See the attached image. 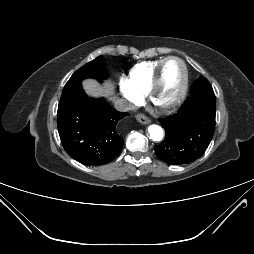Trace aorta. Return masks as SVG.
Returning a JSON list of instances; mask_svg holds the SVG:
<instances>
[{"instance_id":"762f6f07","label":"aorta","mask_w":254,"mask_h":254,"mask_svg":"<svg viewBox=\"0 0 254 254\" xmlns=\"http://www.w3.org/2000/svg\"><path fill=\"white\" fill-rule=\"evenodd\" d=\"M149 138L153 141H161L163 138V129L158 125H150L148 128Z\"/></svg>"}]
</instances>
